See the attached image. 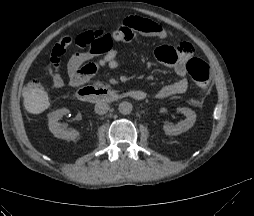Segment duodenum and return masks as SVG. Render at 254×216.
<instances>
[{
  "instance_id": "410a0bca",
  "label": "duodenum",
  "mask_w": 254,
  "mask_h": 216,
  "mask_svg": "<svg viewBox=\"0 0 254 216\" xmlns=\"http://www.w3.org/2000/svg\"><path fill=\"white\" fill-rule=\"evenodd\" d=\"M122 96L137 100L144 98L138 90H130L121 94L107 87H82L77 91V98L84 102H113Z\"/></svg>"
}]
</instances>
